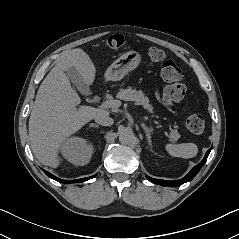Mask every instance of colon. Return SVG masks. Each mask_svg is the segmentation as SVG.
I'll return each instance as SVG.
<instances>
[{"label": "colon", "mask_w": 239, "mask_h": 239, "mask_svg": "<svg viewBox=\"0 0 239 239\" xmlns=\"http://www.w3.org/2000/svg\"><path fill=\"white\" fill-rule=\"evenodd\" d=\"M123 44L124 38L121 35H113L105 41L104 46L117 50ZM149 56L153 62L161 63V77L166 82L162 93L163 104L165 106L175 105L184 98L186 92L180 67L174 61L166 59L165 53L158 48H150ZM186 126L190 132L200 134L205 129L204 118L199 114H190L186 119Z\"/></svg>", "instance_id": "5ec220e1"}]
</instances>
